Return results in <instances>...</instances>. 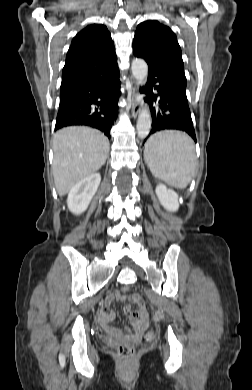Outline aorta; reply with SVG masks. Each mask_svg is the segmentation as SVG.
I'll return each instance as SVG.
<instances>
[{
    "instance_id": "obj_1",
    "label": "aorta",
    "mask_w": 252,
    "mask_h": 390,
    "mask_svg": "<svg viewBox=\"0 0 252 390\" xmlns=\"http://www.w3.org/2000/svg\"><path fill=\"white\" fill-rule=\"evenodd\" d=\"M131 70L134 78L139 84L142 85L146 82L148 76V66L143 59H134L132 61ZM136 128L138 136L142 139L149 134L151 128V115L147 106L141 110L138 116Z\"/></svg>"
}]
</instances>
